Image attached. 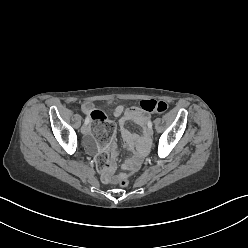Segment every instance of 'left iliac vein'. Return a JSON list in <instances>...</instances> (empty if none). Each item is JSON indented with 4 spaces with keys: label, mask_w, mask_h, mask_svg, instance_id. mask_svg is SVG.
<instances>
[{
    "label": "left iliac vein",
    "mask_w": 248,
    "mask_h": 248,
    "mask_svg": "<svg viewBox=\"0 0 248 248\" xmlns=\"http://www.w3.org/2000/svg\"><path fill=\"white\" fill-rule=\"evenodd\" d=\"M147 134H148V136H152L153 135V129L152 128H148Z\"/></svg>",
    "instance_id": "obj_1"
}]
</instances>
